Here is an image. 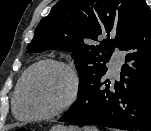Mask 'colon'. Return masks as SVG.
Wrapping results in <instances>:
<instances>
[{
	"mask_svg": "<svg viewBox=\"0 0 151 131\" xmlns=\"http://www.w3.org/2000/svg\"><path fill=\"white\" fill-rule=\"evenodd\" d=\"M14 131H35L34 129L28 128V127H17Z\"/></svg>",
	"mask_w": 151,
	"mask_h": 131,
	"instance_id": "1",
	"label": "colon"
}]
</instances>
